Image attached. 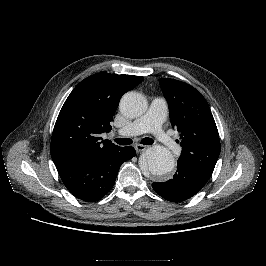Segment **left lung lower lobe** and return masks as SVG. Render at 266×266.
Returning a JSON list of instances; mask_svg holds the SVG:
<instances>
[{"instance_id": "obj_1", "label": "left lung lower lobe", "mask_w": 266, "mask_h": 266, "mask_svg": "<svg viewBox=\"0 0 266 266\" xmlns=\"http://www.w3.org/2000/svg\"><path fill=\"white\" fill-rule=\"evenodd\" d=\"M210 177L203 176L185 165L177 164V173L166 182H154L153 189L171 202L184 201L203 188Z\"/></svg>"}]
</instances>
